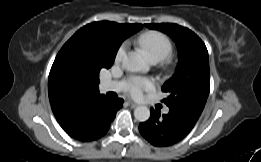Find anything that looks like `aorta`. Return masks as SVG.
I'll return each mask as SVG.
<instances>
[{"instance_id": "1", "label": "aorta", "mask_w": 261, "mask_h": 162, "mask_svg": "<svg viewBox=\"0 0 261 162\" xmlns=\"http://www.w3.org/2000/svg\"><path fill=\"white\" fill-rule=\"evenodd\" d=\"M123 67L130 72L147 71L149 66L144 56L138 52L131 51L123 57ZM135 118L140 122H145L150 117V110L146 106H138L134 110Z\"/></svg>"}]
</instances>
